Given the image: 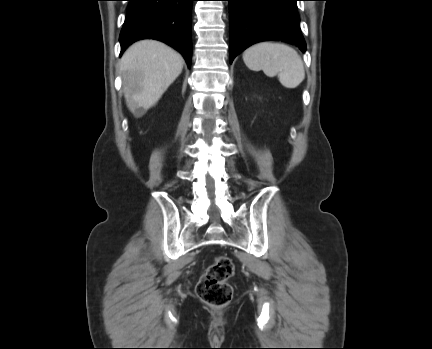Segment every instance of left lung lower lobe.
I'll return each instance as SVG.
<instances>
[{
  "label": "left lung lower lobe",
  "mask_w": 432,
  "mask_h": 349,
  "mask_svg": "<svg viewBox=\"0 0 432 349\" xmlns=\"http://www.w3.org/2000/svg\"><path fill=\"white\" fill-rule=\"evenodd\" d=\"M230 7V63L239 52L262 41L306 44L300 31L298 0H227Z\"/></svg>",
  "instance_id": "0a47b994"
}]
</instances>
